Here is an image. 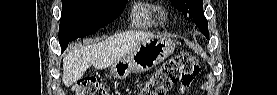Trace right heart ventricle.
<instances>
[{"instance_id": "right-heart-ventricle-1", "label": "right heart ventricle", "mask_w": 277, "mask_h": 95, "mask_svg": "<svg viewBox=\"0 0 277 95\" xmlns=\"http://www.w3.org/2000/svg\"><path fill=\"white\" fill-rule=\"evenodd\" d=\"M153 8L145 1H139L132 11V22L136 28H147L154 23Z\"/></svg>"}]
</instances>
